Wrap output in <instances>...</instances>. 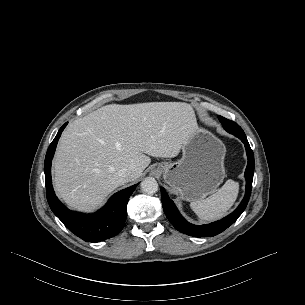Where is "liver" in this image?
<instances>
[{
  "label": "liver",
  "instance_id": "obj_1",
  "mask_svg": "<svg viewBox=\"0 0 305 305\" xmlns=\"http://www.w3.org/2000/svg\"><path fill=\"white\" fill-rule=\"evenodd\" d=\"M198 129L190 104L148 102L110 104L73 121L54 157V186L71 208L90 211L122 182L118 172L132 169L136 181L152 157H176Z\"/></svg>",
  "mask_w": 305,
  "mask_h": 305
}]
</instances>
